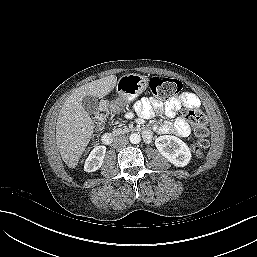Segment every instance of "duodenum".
<instances>
[{
    "label": "duodenum",
    "instance_id": "obj_1",
    "mask_svg": "<svg viewBox=\"0 0 257 257\" xmlns=\"http://www.w3.org/2000/svg\"><path fill=\"white\" fill-rule=\"evenodd\" d=\"M142 134L146 140H150L151 134L149 131H147V130L143 131ZM113 140H114V138H113L112 134L108 133V132L104 133L101 137V142L105 146L111 145L113 143Z\"/></svg>",
    "mask_w": 257,
    "mask_h": 257
}]
</instances>
